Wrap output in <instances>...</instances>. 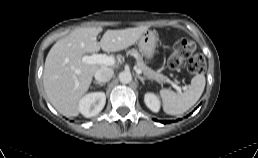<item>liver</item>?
Returning <instances> with one entry per match:
<instances>
[{
  "instance_id": "obj_1",
  "label": "liver",
  "mask_w": 258,
  "mask_h": 158,
  "mask_svg": "<svg viewBox=\"0 0 258 158\" xmlns=\"http://www.w3.org/2000/svg\"><path fill=\"white\" fill-rule=\"evenodd\" d=\"M101 27L78 28L58 40L50 49L44 65L43 85L50 103L65 116L79 114V102L87 93L96 71L103 64H87L83 56L116 52L133 45L148 30L146 26L105 31Z\"/></svg>"
}]
</instances>
